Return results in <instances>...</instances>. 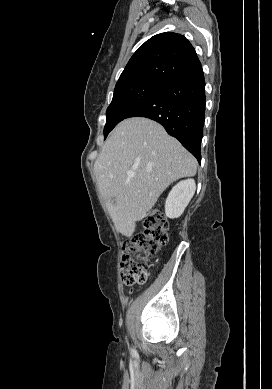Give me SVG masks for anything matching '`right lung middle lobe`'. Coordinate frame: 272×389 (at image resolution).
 Returning <instances> with one entry per match:
<instances>
[{"label":"right lung middle lobe","instance_id":"dd1d6c3e","mask_svg":"<svg viewBox=\"0 0 272 389\" xmlns=\"http://www.w3.org/2000/svg\"><path fill=\"white\" fill-rule=\"evenodd\" d=\"M165 85L161 82L143 80L115 87L112 102L106 111L105 138L120 121L126 118L133 108Z\"/></svg>","mask_w":272,"mask_h":389}]
</instances>
